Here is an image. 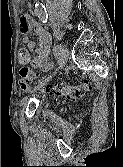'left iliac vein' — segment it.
I'll use <instances>...</instances> for the list:
<instances>
[{"label":"left iliac vein","instance_id":"4c4485c4","mask_svg":"<svg viewBox=\"0 0 123 167\" xmlns=\"http://www.w3.org/2000/svg\"><path fill=\"white\" fill-rule=\"evenodd\" d=\"M68 58H69L68 48L66 46H63L56 71H59L60 69H62L65 66L66 62L68 61ZM51 77L52 76L46 78L43 82H40L39 84H37L34 87V89L31 91V93H34V92L40 90L41 88H43L45 86V84L50 80Z\"/></svg>","mask_w":123,"mask_h":167}]
</instances>
